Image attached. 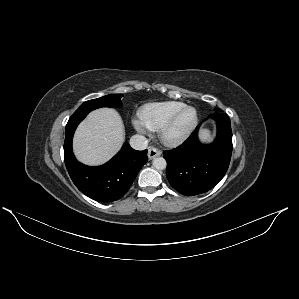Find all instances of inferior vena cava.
Listing matches in <instances>:
<instances>
[{"instance_id": "1", "label": "inferior vena cava", "mask_w": 299, "mask_h": 299, "mask_svg": "<svg viewBox=\"0 0 299 299\" xmlns=\"http://www.w3.org/2000/svg\"><path fill=\"white\" fill-rule=\"evenodd\" d=\"M130 145L133 149L144 150L148 146V140L143 135H133L130 138Z\"/></svg>"}]
</instances>
